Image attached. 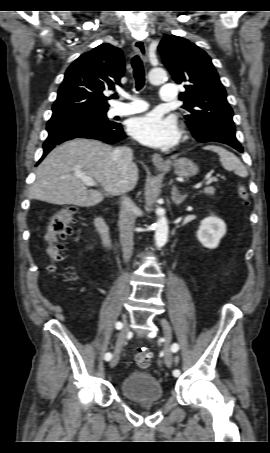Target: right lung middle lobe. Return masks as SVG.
<instances>
[{
  "instance_id": "obj_1",
  "label": "right lung middle lobe",
  "mask_w": 270,
  "mask_h": 453,
  "mask_svg": "<svg viewBox=\"0 0 270 453\" xmlns=\"http://www.w3.org/2000/svg\"><path fill=\"white\" fill-rule=\"evenodd\" d=\"M106 112H107V110L85 111V112H81V113L63 117V118H78V119H84V120H88V121L99 123V124H108V123H110V121L108 120V118L106 116Z\"/></svg>"
}]
</instances>
